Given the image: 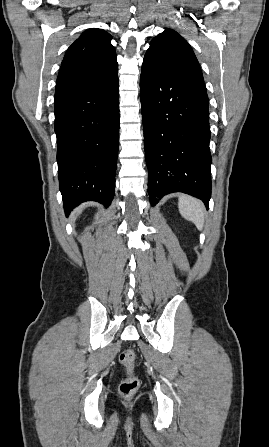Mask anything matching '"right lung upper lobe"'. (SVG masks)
I'll use <instances>...</instances> for the list:
<instances>
[{"mask_svg":"<svg viewBox=\"0 0 269 447\" xmlns=\"http://www.w3.org/2000/svg\"><path fill=\"white\" fill-rule=\"evenodd\" d=\"M111 35L97 28L88 29L68 48L57 82L98 76L116 68V52Z\"/></svg>","mask_w":269,"mask_h":447,"instance_id":"1","label":"right lung upper lobe"}]
</instances>
